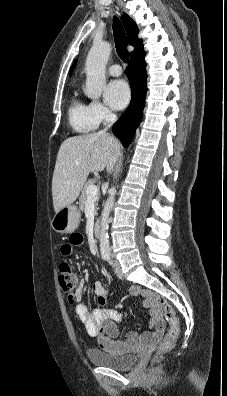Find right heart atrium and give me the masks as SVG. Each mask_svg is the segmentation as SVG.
I'll list each match as a JSON object with an SVG mask.
<instances>
[{
  "label": "right heart atrium",
  "instance_id": "right-heart-atrium-1",
  "mask_svg": "<svg viewBox=\"0 0 227 396\" xmlns=\"http://www.w3.org/2000/svg\"><path fill=\"white\" fill-rule=\"evenodd\" d=\"M88 106L97 124L109 122L114 118V113L107 106L98 101H92Z\"/></svg>",
  "mask_w": 227,
  "mask_h": 396
}]
</instances>
